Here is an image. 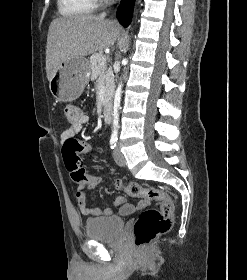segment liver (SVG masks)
<instances>
[{"mask_svg": "<svg viewBox=\"0 0 247 280\" xmlns=\"http://www.w3.org/2000/svg\"><path fill=\"white\" fill-rule=\"evenodd\" d=\"M118 23L103 15H73L51 22L47 35L46 74L50 81L60 65L73 57H84L114 45Z\"/></svg>", "mask_w": 247, "mask_h": 280, "instance_id": "1", "label": "liver"}]
</instances>
